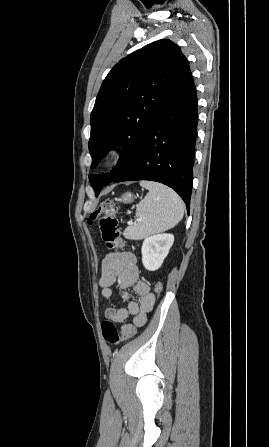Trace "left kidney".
Here are the masks:
<instances>
[{
    "mask_svg": "<svg viewBox=\"0 0 269 447\" xmlns=\"http://www.w3.org/2000/svg\"><path fill=\"white\" fill-rule=\"evenodd\" d=\"M174 235L172 233H157L145 237L141 247L142 263L149 271H155L162 265L166 255L173 245Z\"/></svg>",
    "mask_w": 269,
    "mask_h": 447,
    "instance_id": "left-kidney-1",
    "label": "left kidney"
}]
</instances>
